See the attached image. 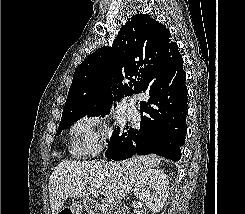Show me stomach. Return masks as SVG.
I'll use <instances>...</instances> for the list:
<instances>
[{
    "instance_id": "1",
    "label": "stomach",
    "mask_w": 245,
    "mask_h": 214,
    "mask_svg": "<svg viewBox=\"0 0 245 214\" xmlns=\"http://www.w3.org/2000/svg\"><path fill=\"white\" fill-rule=\"evenodd\" d=\"M80 210H81V206L77 203H75L73 206H72V214H81L80 213Z\"/></svg>"
}]
</instances>
